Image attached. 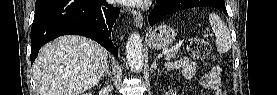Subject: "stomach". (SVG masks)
I'll list each match as a JSON object with an SVG mask.
<instances>
[{
	"label": "stomach",
	"instance_id": "0dacf381",
	"mask_svg": "<svg viewBox=\"0 0 277 95\" xmlns=\"http://www.w3.org/2000/svg\"><path fill=\"white\" fill-rule=\"evenodd\" d=\"M176 37L175 30L168 25H160L148 34V44L152 49L160 50L170 45Z\"/></svg>",
	"mask_w": 277,
	"mask_h": 95
}]
</instances>
